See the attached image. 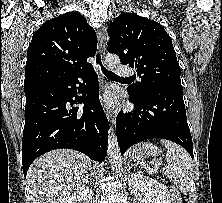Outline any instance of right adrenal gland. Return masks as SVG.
<instances>
[{
	"label": "right adrenal gland",
	"mask_w": 222,
	"mask_h": 203,
	"mask_svg": "<svg viewBox=\"0 0 222 203\" xmlns=\"http://www.w3.org/2000/svg\"><path fill=\"white\" fill-rule=\"evenodd\" d=\"M92 178H93V173H91V175H90V182H92Z\"/></svg>",
	"instance_id": "right-adrenal-gland-1"
}]
</instances>
